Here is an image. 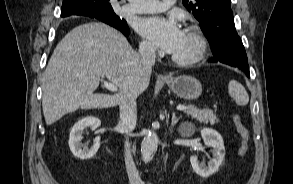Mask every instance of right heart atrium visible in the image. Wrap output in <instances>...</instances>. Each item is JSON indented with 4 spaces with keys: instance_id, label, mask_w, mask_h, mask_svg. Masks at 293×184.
<instances>
[{
    "instance_id": "d8ad5b80",
    "label": "right heart atrium",
    "mask_w": 293,
    "mask_h": 184,
    "mask_svg": "<svg viewBox=\"0 0 293 184\" xmlns=\"http://www.w3.org/2000/svg\"><path fill=\"white\" fill-rule=\"evenodd\" d=\"M140 47L145 54L153 55L155 53V47L147 40H143Z\"/></svg>"
}]
</instances>
